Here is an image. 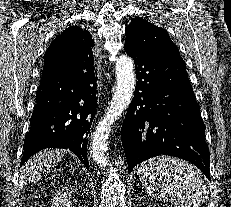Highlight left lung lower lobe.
<instances>
[{
  "label": "left lung lower lobe",
  "instance_id": "0a47b994",
  "mask_svg": "<svg viewBox=\"0 0 231 207\" xmlns=\"http://www.w3.org/2000/svg\"><path fill=\"white\" fill-rule=\"evenodd\" d=\"M127 53L134 59L138 79L121 130L128 172L164 154L191 162L211 180L205 125L184 60Z\"/></svg>",
  "mask_w": 231,
  "mask_h": 207
}]
</instances>
